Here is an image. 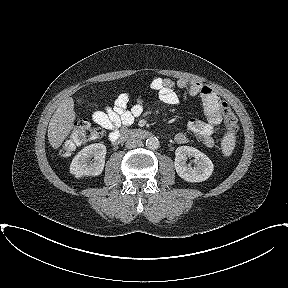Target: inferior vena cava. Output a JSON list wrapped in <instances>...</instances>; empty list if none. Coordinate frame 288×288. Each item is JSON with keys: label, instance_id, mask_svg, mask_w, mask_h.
Returning a JSON list of instances; mask_svg holds the SVG:
<instances>
[{"label": "inferior vena cava", "instance_id": "602c4592", "mask_svg": "<svg viewBox=\"0 0 288 288\" xmlns=\"http://www.w3.org/2000/svg\"><path fill=\"white\" fill-rule=\"evenodd\" d=\"M141 145L142 141L139 138H129L125 143V147L128 149L137 148L140 147Z\"/></svg>", "mask_w": 288, "mask_h": 288}]
</instances>
